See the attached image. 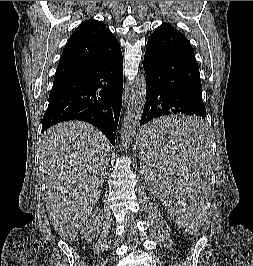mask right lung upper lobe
<instances>
[{
    "label": "right lung upper lobe",
    "mask_w": 253,
    "mask_h": 266,
    "mask_svg": "<svg viewBox=\"0 0 253 266\" xmlns=\"http://www.w3.org/2000/svg\"><path fill=\"white\" fill-rule=\"evenodd\" d=\"M120 52L118 40L102 22L93 19L85 21L70 36L54 82L104 63Z\"/></svg>",
    "instance_id": "1"
}]
</instances>
